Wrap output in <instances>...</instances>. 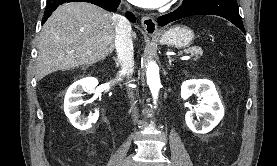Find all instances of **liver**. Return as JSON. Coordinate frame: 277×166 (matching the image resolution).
Listing matches in <instances>:
<instances>
[{"label":"liver","mask_w":277,"mask_h":166,"mask_svg":"<svg viewBox=\"0 0 277 166\" xmlns=\"http://www.w3.org/2000/svg\"><path fill=\"white\" fill-rule=\"evenodd\" d=\"M116 20L85 2L59 6L44 24L38 42L37 78L58 70L92 65L112 53ZM132 36L136 39V33Z\"/></svg>","instance_id":"liver-1"}]
</instances>
